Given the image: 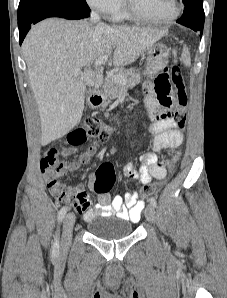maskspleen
<instances>
[{"label":"spleen","mask_w":227,"mask_h":298,"mask_svg":"<svg viewBox=\"0 0 227 298\" xmlns=\"http://www.w3.org/2000/svg\"><path fill=\"white\" fill-rule=\"evenodd\" d=\"M181 58H182L183 63L186 66L191 65L190 52H189V49L186 45L183 47Z\"/></svg>","instance_id":"spleen-1"}]
</instances>
